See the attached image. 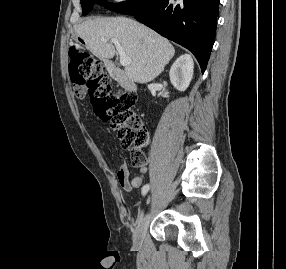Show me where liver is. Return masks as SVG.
Returning a JSON list of instances; mask_svg holds the SVG:
<instances>
[{
    "label": "liver",
    "mask_w": 286,
    "mask_h": 269,
    "mask_svg": "<svg viewBox=\"0 0 286 269\" xmlns=\"http://www.w3.org/2000/svg\"><path fill=\"white\" fill-rule=\"evenodd\" d=\"M74 30L87 49L102 60L114 57L116 51L110 40L117 39L131 59L125 66V75L141 84L160 75L175 54L167 39L126 17L89 19L76 25ZM102 38L107 42H102Z\"/></svg>",
    "instance_id": "obj_1"
}]
</instances>
